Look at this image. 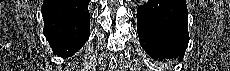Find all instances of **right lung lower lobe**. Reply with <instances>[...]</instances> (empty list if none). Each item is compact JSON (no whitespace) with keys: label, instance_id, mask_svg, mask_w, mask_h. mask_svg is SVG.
<instances>
[{"label":"right lung lower lobe","instance_id":"98d812e1","mask_svg":"<svg viewBox=\"0 0 230 71\" xmlns=\"http://www.w3.org/2000/svg\"><path fill=\"white\" fill-rule=\"evenodd\" d=\"M90 0H44L41 12L44 35L54 53L72 56L90 34Z\"/></svg>","mask_w":230,"mask_h":71}]
</instances>
